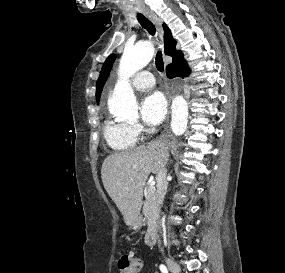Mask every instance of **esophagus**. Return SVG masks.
Instances as JSON below:
<instances>
[{
  "label": "esophagus",
  "instance_id": "1",
  "mask_svg": "<svg viewBox=\"0 0 285 273\" xmlns=\"http://www.w3.org/2000/svg\"><path fill=\"white\" fill-rule=\"evenodd\" d=\"M145 15L150 19V21L155 25L161 42L163 43V28H162V19L159 18L155 13L151 11H145Z\"/></svg>",
  "mask_w": 285,
  "mask_h": 273
}]
</instances>
